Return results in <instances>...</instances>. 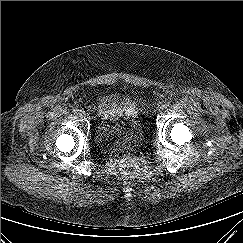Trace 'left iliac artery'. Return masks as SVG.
Here are the masks:
<instances>
[{
    "instance_id": "1",
    "label": "left iliac artery",
    "mask_w": 243,
    "mask_h": 243,
    "mask_svg": "<svg viewBox=\"0 0 243 243\" xmlns=\"http://www.w3.org/2000/svg\"><path fill=\"white\" fill-rule=\"evenodd\" d=\"M169 105H170V102H166V103L164 104L165 107H167V106H169Z\"/></svg>"
}]
</instances>
